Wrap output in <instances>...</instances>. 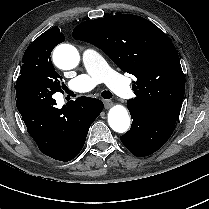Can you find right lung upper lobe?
I'll list each match as a JSON object with an SVG mask.
<instances>
[{"label":"right lung upper lobe","mask_w":209,"mask_h":209,"mask_svg":"<svg viewBox=\"0 0 209 209\" xmlns=\"http://www.w3.org/2000/svg\"><path fill=\"white\" fill-rule=\"evenodd\" d=\"M39 37H51L56 42V45L63 42L64 39H65L63 34L60 33V30H59L58 27H53V28L47 30L42 35H40Z\"/></svg>","instance_id":"obj_1"}]
</instances>
